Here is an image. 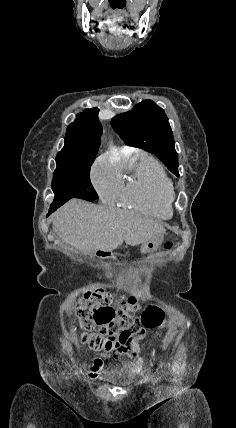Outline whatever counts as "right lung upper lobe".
Segmentation results:
<instances>
[{"label":"right lung upper lobe","mask_w":236,"mask_h":428,"mask_svg":"<svg viewBox=\"0 0 236 428\" xmlns=\"http://www.w3.org/2000/svg\"><path fill=\"white\" fill-rule=\"evenodd\" d=\"M98 112L96 107L86 109L68 126L65 146L57 154V163H84L95 160L102 134Z\"/></svg>","instance_id":"cb5924a9"}]
</instances>
